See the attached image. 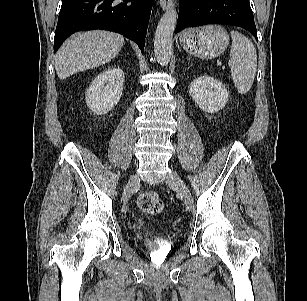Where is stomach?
Returning a JSON list of instances; mask_svg holds the SVG:
<instances>
[{
    "label": "stomach",
    "mask_w": 307,
    "mask_h": 301,
    "mask_svg": "<svg viewBox=\"0 0 307 301\" xmlns=\"http://www.w3.org/2000/svg\"><path fill=\"white\" fill-rule=\"evenodd\" d=\"M183 49L197 57L211 59L221 55L229 44L227 31L219 25L191 28L180 36Z\"/></svg>",
    "instance_id": "0dacf381"
}]
</instances>
